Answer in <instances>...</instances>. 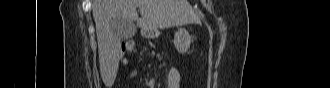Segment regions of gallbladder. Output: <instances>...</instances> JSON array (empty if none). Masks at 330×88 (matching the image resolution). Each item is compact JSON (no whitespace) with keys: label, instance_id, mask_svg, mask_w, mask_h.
I'll return each mask as SVG.
<instances>
[{"label":"gallbladder","instance_id":"obj_1","mask_svg":"<svg viewBox=\"0 0 330 88\" xmlns=\"http://www.w3.org/2000/svg\"><path fill=\"white\" fill-rule=\"evenodd\" d=\"M114 29L117 31L122 40L131 39L136 33V26L133 22L127 21H114L113 23Z\"/></svg>","mask_w":330,"mask_h":88}]
</instances>
